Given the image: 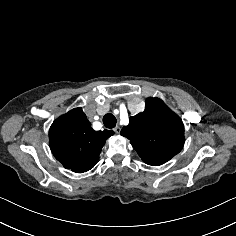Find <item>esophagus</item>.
I'll use <instances>...</instances> for the list:
<instances>
[{
  "instance_id": "1",
  "label": "esophagus",
  "mask_w": 236,
  "mask_h": 236,
  "mask_svg": "<svg viewBox=\"0 0 236 236\" xmlns=\"http://www.w3.org/2000/svg\"><path fill=\"white\" fill-rule=\"evenodd\" d=\"M117 134H119L121 132V128L119 126H116L114 129H113Z\"/></svg>"
}]
</instances>
